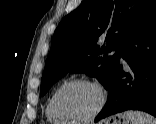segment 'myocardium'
Here are the masks:
<instances>
[{"mask_svg":"<svg viewBox=\"0 0 156 124\" xmlns=\"http://www.w3.org/2000/svg\"><path fill=\"white\" fill-rule=\"evenodd\" d=\"M74 85H89V86L94 87L99 93L100 101H99L98 106L90 115H88L84 118L74 119V118L67 117L58 108V99H59L61 93L66 88H68L70 86H74ZM107 101H108L107 91L99 81L94 80V79H89V78H77V79H72V80H69V81L63 83L57 89V91L55 92L53 99H52V110L58 118L62 119L63 121H65L67 123L82 124V123H87V122L94 120L104 110V108L107 104Z\"/></svg>","mask_w":156,"mask_h":124,"instance_id":"obj_1","label":"myocardium"}]
</instances>
